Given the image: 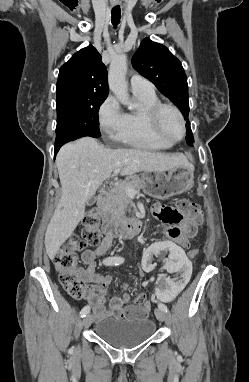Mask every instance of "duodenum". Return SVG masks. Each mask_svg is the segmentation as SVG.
Returning a JSON list of instances; mask_svg holds the SVG:
<instances>
[{"mask_svg":"<svg viewBox=\"0 0 249 382\" xmlns=\"http://www.w3.org/2000/svg\"><path fill=\"white\" fill-rule=\"evenodd\" d=\"M98 207L100 211H105L107 208V195L102 192L98 196ZM142 229V221L139 218L126 219H108L104 224L106 235L111 237L128 238L138 234Z\"/></svg>","mask_w":249,"mask_h":382,"instance_id":"duodenum-1","label":"duodenum"}]
</instances>
